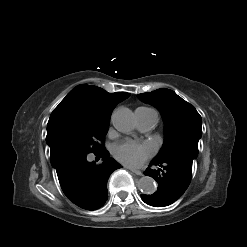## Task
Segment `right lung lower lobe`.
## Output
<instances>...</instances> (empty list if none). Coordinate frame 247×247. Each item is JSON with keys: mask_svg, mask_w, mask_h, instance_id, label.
<instances>
[{"mask_svg": "<svg viewBox=\"0 0 247 247\" xmlns=\"http://www.w3.org/2000/svg\"><path fill=\"white\" fill-rule=\"evenodd\" d=\"M95 155L103 158L102 164L88 162L86 153L66 148H53L50 154L63 192L74 204L86 210H96L104 205L108 198V178L121 168L109 157L107 150Z\"/></svg>", "mask_w": 247, "mask_h": 247, "instance_id": "right-lung-lower-lobe-1", "label": "right lung lower lobe"}]
</instances>
